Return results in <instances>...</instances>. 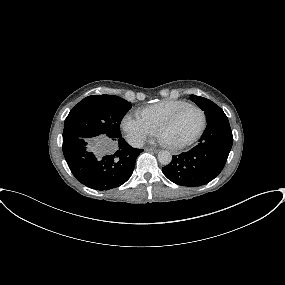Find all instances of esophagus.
<instances>
[{"instance_id": "1", "label": "esophagus", "mask_w": 285, "mask_h": 285, "mask_svg": "<svg viewBox=\"0 0 285 285\" xmlns=\"http://www.w3.org/2000/svg\"><path fill=\"white\" fill-rule=\"evenodd\" d=\"M146 151L158 152V149H155V148H146Z\"/></svg>"}]
</instances>
